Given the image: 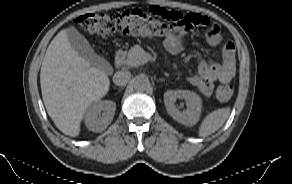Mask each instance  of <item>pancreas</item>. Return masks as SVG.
<instances>
[{"instance_id":"cf45deb5","label":"pancreas","mask_w":292,"mask_h":184,"mask_svg":"<svg viewBox=\"0 0 292 184\" xmlns=\"http://www.w3.org/2000/svg\"><path fill=\"white\" fill-rule=\"evenodd\" d=\"M146 52L139 45L133 46L123 57V64L127 67H137L143 63Z\"/></svg>"}]
</instances>
